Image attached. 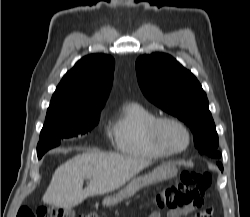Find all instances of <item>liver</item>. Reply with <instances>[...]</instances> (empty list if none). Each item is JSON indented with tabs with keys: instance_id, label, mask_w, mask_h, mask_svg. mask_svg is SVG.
I'll return each instance as SVG.
<instances>
[{
	"instance_id": "obj_1",
	"label": "liver",
	"mask_w": 250,
	"mask_h": 217,
	"mask_svg": "<svg viewBox=\"0 0 250 217\" xmlns=\"http://www.w3.org/2000/svg\"><path fill=\"white\" fill-rule=\"evenodd\" d=\"M150 164L143 158L114 153L78 154L55 170L43 201L58 208H72L87 197L119 189ZM85 179L89 184L83 189Z\"/></svg>"
}]
</instances>
